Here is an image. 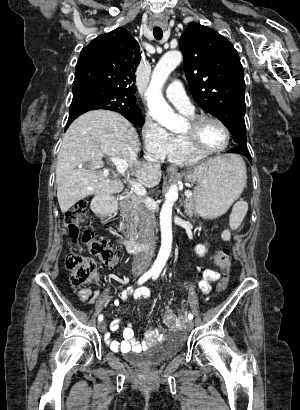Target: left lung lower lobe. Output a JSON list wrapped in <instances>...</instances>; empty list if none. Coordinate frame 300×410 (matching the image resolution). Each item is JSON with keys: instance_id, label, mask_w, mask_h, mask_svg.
<instances>
[{"instance_id": "obj_1", "label": "left lung lower lobe", "mask_w": 300, "mask_h": 410, "mask_svg": "<svg viewBox=\"0 0 300 410\" xmlns=\"http://www.w3.org/2000/svg\"><path fill=\"white\" fill-rule=\"evenodd\" d=\"M229 153H238V154H242L244 156H246L248 158V160L250 161V163H252L251 161V156L249 151L247 150L246 147L244 146H236L235 148L231 149L230 151H228Z\"/></svg>"}]
</instances>
